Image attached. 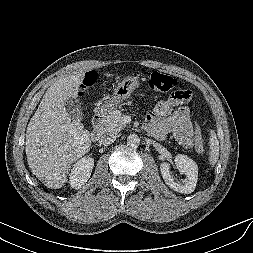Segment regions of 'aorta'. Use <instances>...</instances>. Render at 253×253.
Instances as JSON below:
<instances>
[{
	"label": "aorta",
	"mask_w": 253,
	"mask_h": 253,
	"mask_svg": "<svg viewBox=\"0 0 253 253\" xmlns=\"http://www.w3.org/2000/svg\"><path fill=\"white\" fill-rule=\"evenodd\" d=\"M127 145L132 148H137L140 145V138L136 134H131L127 137Z\"/></svg>",
	"instance_id": "aorta-1"
}]
</instances>
